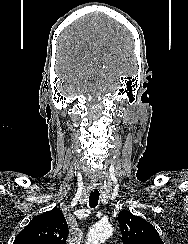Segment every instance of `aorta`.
I'll use <instances>...</instances> for the list:
<instances>
[{"mask_svg":"<svg viewBox=\"0 0 188 244\" xmlns=\"http://www.w3.org/2000/svg\"><path fill=\"white\" fill-rule=\"evenodd\" d=\"M112 226L109 223L94 224L87 235V244H100L112 234Z\"/></svg>","mask_w":188,"mask_h":244,"instance_id":"762f6f07","label":"aorta"}]
</instances>
